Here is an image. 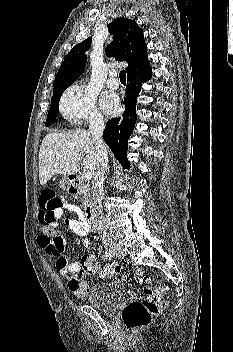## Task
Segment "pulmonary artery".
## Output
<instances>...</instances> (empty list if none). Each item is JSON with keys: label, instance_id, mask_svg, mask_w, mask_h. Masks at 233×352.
<instances>
[{"label": "pulmonary artery", "instance_id": "e3ab8cb5", "mask_svg": "<svg viewBox=\"0 0 233 352\" xmlns=\"http://www.w3.org/2000/svg\"><path fill=\"white\" fill-rule=\"evenodd\" d=\"M109 79L107 81V85L108 87L112 88V89H117L120 85L119 80L116 78L117 76V72L115 70L110 71L109 74Z\"/></svg>", "mask_w": 233, "mask_h": 352}]
</instances>
